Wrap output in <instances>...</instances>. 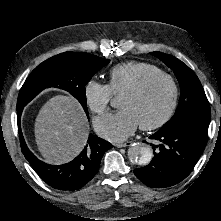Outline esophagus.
Masks as SVG:
<instances>
[{"label": "esophagus", "instance_id": "esophagus-1", "mask_svg": "<svg viewBox=\"0 0 221 221\" xmlns=\"http://www.w3.org/2000/svg\"><path fill=\"white\" fill-rule=\"evenodd\" d=\"M132 143H133L132 141H127V142H125V143H117V144H115V146H116L117 148H123V147L131 146Z\"/></svg>", "mask_w": 221, "mask_h": 221}]
</instances>
